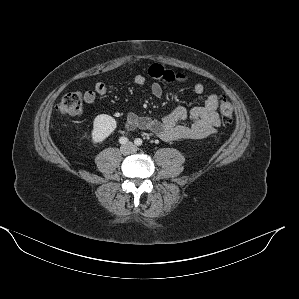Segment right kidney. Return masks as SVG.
<instances>
[{"instance_id": "obj_1", "label": "right kidney", "mask_w": 299, "mask_h": 299, "mask_svg": "<svg viewBox=\"0 0 299 299\" xmlns=\"http://www.w3.org/2000/svg\"><path fill=\"white\" fill-rule=\"evenodd\" d=\"M116 120L107 115L100 114L95 117L93 121V129L91 131L92 141L94 143H100L104 141L109 135L116 129Z\"/></svg>"}]
</instances>
